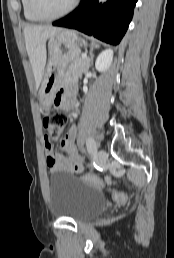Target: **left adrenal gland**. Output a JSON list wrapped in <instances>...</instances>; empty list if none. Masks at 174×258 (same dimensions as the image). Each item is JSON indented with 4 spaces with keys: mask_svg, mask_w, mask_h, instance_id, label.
Segmentation results:
<instances>
[{
    "mask_svg": "<svg viewBox=\"0 0 174 258\" xmlns=\"http://www.w3.org/2000/svg\"><path fill=\"white\" fill-rule=\"evenodd\" d=\"M95 48H98L99 46H94ZM92 49H93V45H92ZM92 49H91V51H90V58H89V61L91 62V64H92V60H93V55H92Z\"/></svg>",
    "mask_w": 174,
    "mask_h": 258,
    "instance_id": "left-adrenal-gland-1",
    "label": "left adrenal gland"
}]
</instances>
